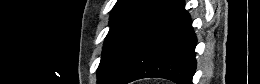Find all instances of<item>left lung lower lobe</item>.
Instances as JSON below:
<instances>
[{"mask_svg": "<svg viewBox=\"0 0 260 84\" xmlns=\"http://www.w3.org/2000/svg\"><path fill=\"white\" fill-rule=\"evenodd\" d=\"M196 42L184 0H160L124 46L103 84L147 77L192 84Z\"/></svg>", "mask_w": 260, "mask_h": 84, "instance_id": "0a47b994", "label": "left lung lower lobe"}]
</instances>
